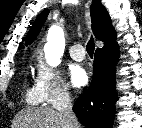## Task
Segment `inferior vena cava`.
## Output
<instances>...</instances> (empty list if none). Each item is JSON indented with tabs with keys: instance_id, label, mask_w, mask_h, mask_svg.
<instances>
[{
	"instance_id": "602c4592",
	"label": "inferior vena cava",
	"mask_w": 142,
	"mask_h": 128,
	"mask_svg": "<svg viewBox=\"0 0 142 128\" xmlns=\"http://www.w3.org/2000/svg\"><path fill=\"white\" fill-rule=\"evenodd\" d=\"M58 110L66 120L67 128H79L77 118L73 112L71 98L67 91H63L60 95Z\"/></svg>"
}]
</instances>
